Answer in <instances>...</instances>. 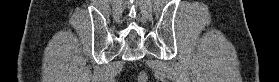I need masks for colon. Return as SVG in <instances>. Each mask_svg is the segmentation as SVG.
Here are the masks:
<instances>
[{"mask_svg":"<svg viewBox=\"0 0 279 82\" xmlns=\"http://www.w3.org/2000/svg\"><path fill=\"white\" fill-rule=\"evenodd\" d=\"M139 81H140V82H146V81H147V76H146L145 73H141V74L139 75Z\"/></svg>","mask_w":279,"mask_h":82,"instance_id":"colon-1","label":"colon"}]
</instances>
